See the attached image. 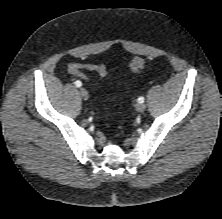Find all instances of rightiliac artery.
Masks as SVG:
<instances>
[{
    "label": "right iliac artery",
    "instance_id": "right-iliac-artery-1",
    "mask_svg": "<svg viewBox=\"0 0 222 219\" xmlns=\"http://www.w3.org/2000/svg\"><path fill=\"white\" fill-rule=\"evenodd\" d=\"M75 86H76V87H81V86H82V82L79 81V80H77V81L75 82Z\"/></svg>",
    "mask_w": 222,
    "mask_h": 219
}]
</instances>
